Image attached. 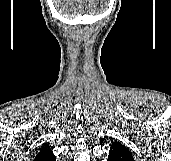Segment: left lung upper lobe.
Masks as SVG:
<instances>
[{"instance_id":"5c2ea615","label":"left lung upper lobe","mask_w":171,"mask_h":161,"mask_svg":"<svg viewBox=\"0 0 171 161\" xmlns=\"http://www.w3.org/2000/svg\"><path fill=\"white\" fill-rule=\"evenodd\" d=\"M108 161H134L131 152L119 141L111 145Z\"/></svg>"}]
</instances>
